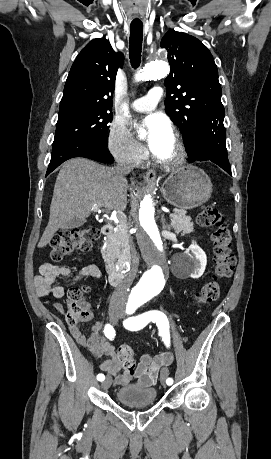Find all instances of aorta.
<instances>
[{
    "label": "aorta",
    "instance_id": "obj_1",
    "mask_svg": "<svg viewBox=\"0 0 271 459\" xmlns=\"http://www.w3.org/2000/svg\"><path fill=\"white\" fill-rule=\"evenodd\" d=\"M168 72L169 66L165 61L152 60L136 75V80H157L167 76ZM131 215L137 243L148 266L137 285V289L148 296H155L163 290L166 283L167 248L157 225L152 195L140 185L136 186L132 195Z\"/></svg>",
    "mask_w": 271,
    "mask_h": 459
}]
</instances>
